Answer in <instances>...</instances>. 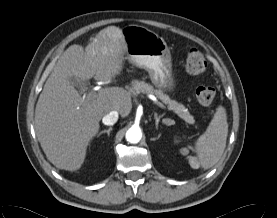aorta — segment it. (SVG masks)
I'll list each match as a JSON object with an SVG mask.
<instances>
[{"label": "aorta", "instance_id": "1", "mask_svg": "<svg viewBox=\"0 0 277 218\" xmlns=\"http://www.w3.org/2000/svg\"><path fill=\"white\" fill-rule=\"evenodd\" d=\"M142 138V131L138 126H132L126 132V140L132 144L138 143Z\"/></svg>", "mask_w": 277, "mask_h": 218}]
</instances>
